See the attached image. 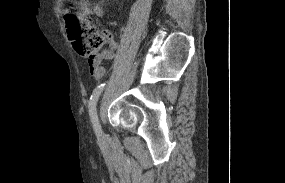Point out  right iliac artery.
<instances>
[{
    "label": "right iliac artery",
    "mask_w": 285,
    "mask_h": 183,
    "mask_svg": "<svg viewBox=\"0 0 285 183\" xmlns=\"http://www.w3.org/2000/svg\"><path fill=\"white\" fill-rule=\"evenodd\" d=\"M105 84H100L93 91L90 102H89V115L91 118V122L93 124L94 131L99 138L101 136V127L98 121L97 111H96V103L98 101L99 95L101 94Z\"/></svg>",
    "instance_id": "right-iliac-artery-1"
}]
</instances>
